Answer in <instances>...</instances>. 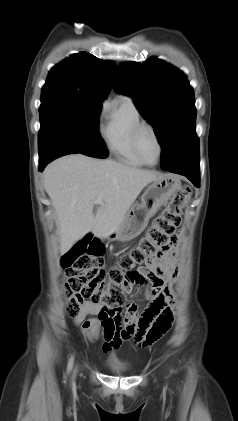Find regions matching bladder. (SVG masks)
Returning <instances> with one entry per match:
<instances>
[{
    "label": "bladder",
    "mask_w": 238,
    "mask_h": 421,
    "mask_svg": "<svg viewBox=\"0 0 238 421\" xmlns=\"http://www.w3.org/2000/svg\"><path fill=\"white\" fill-rule=\"evenodd\" d=\"M106 365L111 372L116 373V374H123L129 371L128 366L115 362V361H108Z\"/></svg>",
    "instance_id": "obj_1"
}]
</instances>
